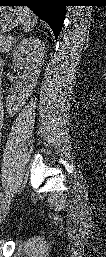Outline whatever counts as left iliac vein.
<instances>
[{
  "label": "left iliac vein",
  "instance_id": "4c4485c4",
  "mask_svg": "<svg viewBox=\"0 0 106 257\" xmlns=\"http://www.w3.org/2000/svg\"><path fill=\"white\" fill-rule=\"evenodd\" d=\"M10 202H11L10 197H6V198H4L3 202L1 203L0 221L3 220V218L5 217L8 209H9Z\"/></svg>",
  "mask_w": 106,
  "mask_h": 257
}]
</instances>
